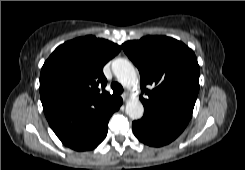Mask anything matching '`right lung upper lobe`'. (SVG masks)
I'll list each match as a JSON object with an SVG mask.
<instances>
[{"mask_svg":"<svg viewBox=\"0 0 245 170\" xmlns=\"http://www.w3.org/2000/svg\"><path fill=\"white\" fill-rule=\"evenodd\" d=\"M119 45L85 36L58 46L40 75L45 116L58 138L69 146L84 137L120 99L110 95L103 66Z\"/></svg>","mask_w":245,"mask_h":170,"instance_id":"1","label":"right lung upper lobe"}]
</instances>
